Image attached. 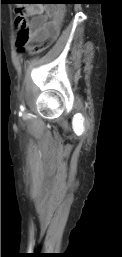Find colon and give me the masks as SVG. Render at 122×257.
<instances>
[{
  "label": "colon",
  "mask_w": 122,
  "mask_h": 257,
  "mask_svg": "<svg viewBox=\"0 0 122 257\" xmlns=\"http://www.w3.org/2000/svg\"><path fill=\"white\" fill-rule=\"evenodd\" d=\"M15 25L18 28V35L16 38V45L19 49V52H22L23 47L27 43L28 39V21L25 16V12L23 9H18L15 17ZM61 30H54L53 34H51V39H58V35H61ZM51 39L44 40L38 44H36L32 48L33 53H40L44 50H46L50 44L52 43Z\"/></svg>",
  "instance_id": "obj_1"
}]
</instances>
